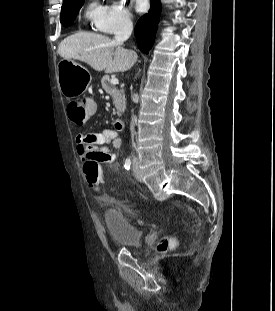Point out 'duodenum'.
<instances>
[{"label":"duodenum","instance_id":"duodenum-1","mask_svg":"<svg viewBox=\"0 0 275 311\" xmlns=\"http://www.w3.org/2000/svg\"><path fill=\"white\" fill-rule=\"evenodd\" d=\"M114 125L117 130H123L125 128V124L122 120H115Z\"/></svg>","mask_w":275,"mask_h":311}]
</instances>
